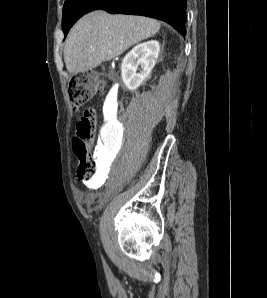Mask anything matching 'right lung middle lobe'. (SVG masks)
<instances>
[{
	"label": "right lung middle lobe",
	"mask_w": 267,
	"mask_h": 298,
	"mask_svg": "<svg viewBox=\"0 0 267 298\" xmlns=\"http://www.w3.org/2000/svg\"><path fill=\"white\" fill-rule=\"evenodd\" d=\"M97 1L98 0H65L62 17V27L65 35L80 17L90 12Z\"/></svg>",
	"instance_id": "dd1d6c3e"
}]
</instances>
